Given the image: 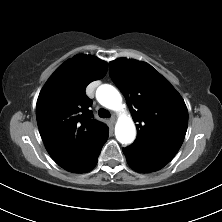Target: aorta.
<instances>
[{
  "label": "aorta",
  "mask_w": 222,
  "mask_h": 222,
  "mask_svg": "<svg viewBox=\"0 0 222 222\" xmlns=\"http://www.w3.org/2000/svg\"><path fill=\"white\" fill-rule=\"evenodd\" d=\"M98 102L104 107L120 111L123 108L122 97L118 90L108 84H103L96 91ZM115 135L117 140L122 144L131 143L136 135L134 122L130 116L121 114L115 126Z\"/></svg>",
  "instance_id": "aorta-1"
}]
</instances>
